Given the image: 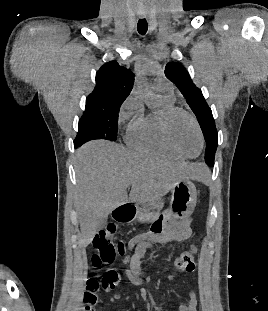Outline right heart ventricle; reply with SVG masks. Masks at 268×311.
Here are the masks:
<instances>
[{"mask_svg": "<svg viewBox=\"0 0 268 311\" xmlns=\"http://www.w3.org/2000/svg\"><path fill=\"white\" fill-rule=\"evenodd\" d=\"M159 97V108L148 113L142 112L131 123L126 134L127 143L140 152L181 160L183 157L168 146L162 133L163 113L166 108L174 106V98L165 94Z\"/></svg>", "mask_w": 268, "mask_h": 311, "instance_id": "obj_1", "label": "right heart ventricle"}]
</instances>
